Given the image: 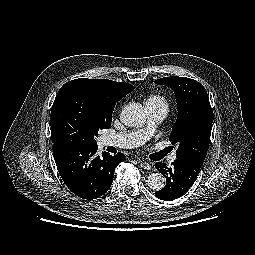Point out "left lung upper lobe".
<instances>
[{
    "mask_svg": "<svg viewBox=\"0 0 255 255\" xmlns=\"http://www.w3.org/2000/svg\"><path fill=\"white\" fill-rule=\"evenodd\" d=\"M154 83L170 87L176 96L178 115L169 137L178 145L176 157L202 165L213 122L207 91L202 84L186 77H164Z\"/></svg>",
    "mask_w": 255,
    "mask_h": 255,
    "instance_id": "5c2ea615",
    "label": "left lung upper lobe"
}]
</instances>
